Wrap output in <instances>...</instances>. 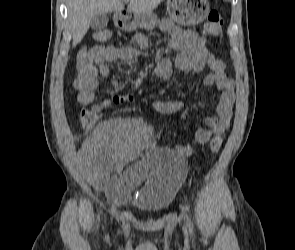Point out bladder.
Returning <instances> with one entry per match:
<instances>
[{
    "label": "bladder",
    "mask_w": 295,
    "mask_h": 250,
    "mask_svg": "<svg viewBox=\"0 0 295 250\" xmlns=\"http://www.w3.org/2000/svg\"><path fill=\"white\" fill-rule=\"evenodd\" d=\"M146 180L137 186L134 206L147 213L166 209L173 201L177 190L185 179V159L172 149H155L145 158Z\"/></svg>",
    "instance_id": "bladder-1"
}]
</instances>
